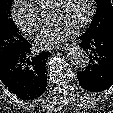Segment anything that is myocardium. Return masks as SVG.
Instances as JSON below:
<instances>
[{
    "label": "myocardium",
    "mask_w": 113,
    "mask_h": 113,
    "mask_svg": "<svg viewBox=\"0 0 113 113\" xmlns=\"http://www.w3.org/2000/svg\"><path fill=\"white\" fill-rule=\"evenodd\" d=\"M61 0H52L48 7H47V11L55 8L58 3L60 2ZM93 14H94V0H87V12H86V15L85 17L77 24V26L75 27L77 30L79 29H82L84 28L85 26H87L92 17H93Z\"/></svg>",
    "instance_id": "f54148a6"
}]
</instances>
